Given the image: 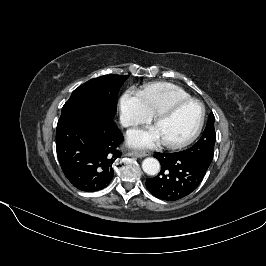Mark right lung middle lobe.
I'll list each match as a JSON object with an SVG mask.
<instances>
[{"label":"right lung middle lobe","instance_id":"dd1d6c3e","mask_svg":"<svg viewBox=\"0 0 266 266\" xmlns=\"http://www.w3.org/2000/svg\"><path fill=\"white\" fill-rule=\"evenodd\" d=\"M127 78L112 74L87 81L72 92L61 114H98L112 119L117 109L118 91Z\"/></svg>","mask_w":266,"mask_h":266}]
</instances>
